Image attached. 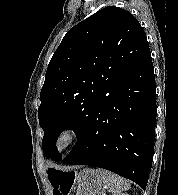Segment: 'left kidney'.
Masks as SVG:
<instances>
[{
  "label": "left kidney",
  "instance_id": "obj_1",
  "mask_svg": "<svg viewBox=\"0 0 178 195\" xmlns=\"http://www.w3.org/2000/svg\"><path fill=\"white\" fill-rule=\"evenodd\" d=\"M121 195H129V194H121Z\"/></svg>",
  "mask_w": 178,
  "mask_h": 195
}]
</instances>
